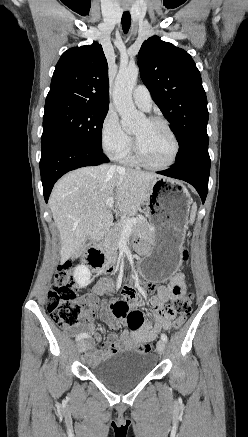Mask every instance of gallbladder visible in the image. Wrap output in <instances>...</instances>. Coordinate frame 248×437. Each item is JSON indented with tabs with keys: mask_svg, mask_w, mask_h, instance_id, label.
<instances>
[{
	"mask_svg": "<svg viewBox=\"0 0 248 437\" xmlns=\"http://www.w3.org/2000/svg\"><path fill=\"white\" fill-rule=\"evenodd\" d=\"M90 243H91V241H89V242H87L85 245H83V246L81 247L80 251L78 252V255H80V254L84 251V249L86 248V246L89 245Z\"/></svg>",
	"mask_w": 248,
	"mask_h": 437,
	"instance_id": "1",
	"label": "gallbladder"
}]
</instances>
